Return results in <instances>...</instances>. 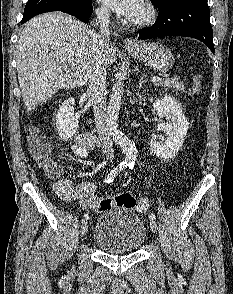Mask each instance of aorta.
<instances>
[{"mask_svg":"<svg viewBox=\"0 0 233 294\" xmlns=\"http://www.w3.org/2000/svg\"><path fill=\"white\" fill-rule=\"evenodd\" d=\"M123 91L124 86L120 76L112 88V94L107 108L106 127L113 140H115V142H117L122 148L125 155V163L129 166H134L137 157L136 146L132 140L119 130L118 127V116Z\"/></svg>","mask_w":233,"mask_h":294,"instance_id":"obj_1","label":"aorta"}]
</instances>
